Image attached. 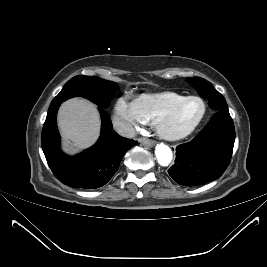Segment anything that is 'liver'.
<instances>
[{"label": "liver", "instance_id": "liver-1", "mask_svg": "<svg viewBox=\"0 0 267 267\" xmlns=\"http://www.w3.org/2000/svg\"><path fill=\"white\" fill-rule=\"evenodd\" d=\"M58 126L64 139V150L75 153L95 143L100 133V116L90 101L72 98L60 106Z\"/></svg>", "mask_w": 267, "mask_h": 267}]
</instances>
